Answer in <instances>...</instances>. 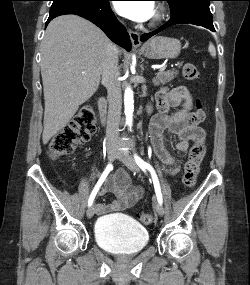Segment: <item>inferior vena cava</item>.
<instances>
[{
  "instance_id": "602c4592",
  "label": "inferior vena cava",
  "mask_w": 250,
  "mask_h": 285,
  "mask_svg": "<svg viewBox=\"0 0 250 285\" xmlns=\"http://www.w3.org/2000/svg\"><path fill=\"white\" fill-rule=\"evenodd\" d=\"M102 83L107 89L109 109L106 138L112 144L119 140V123L122 107L120 71L118 67V49L113 46L101 63Z\"/></svg>"
}]
</instances>
